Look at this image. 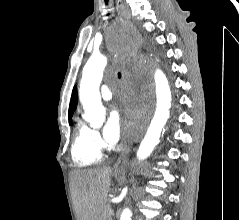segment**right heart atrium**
I'll use <instances>...</instances> for the list:
<instances>
[{"instance_id": "1", "label": "right heart atrium", "mask_w": 239, "mask_h": 220, "mask_svg": "<svg viewBox=\"0 0 239 220\" xmlns=\"http://www.w3.org/2000/svg\"><path fill=\"white\" fill-rule=\"evenodd\" d=\"M92 139H93L94 144L99 149H101L103 147V140H102V138H101V136H100L98 131L93 130V132H92Z\"/></svg>"}]
</instances>
